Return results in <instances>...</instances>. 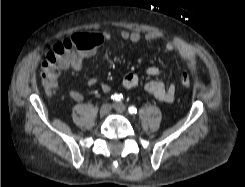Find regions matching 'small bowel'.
<instances>
[{
  "label": "small bowel",
  "instance_id": "1",
  "mask_svg": "<svg viewBox=\"0 0 245 187\" xmlns=\"http://www.w3.org/2000/svg\"><path fill=\"white\" fill-rule=\"evenodd\" d=\"M120 37L123 40L131 42H139L142 39L146 41H158L163 38V34L159 31H148L141 34L139 31L123 30L120 32ZM111 38L112 36L109 32H100L87 35L86 38L82 40L83 51L70 53L68 58L60 63L59 69L81 71L84 67L86 58L94 53L95 49L101 42L109 41ZM165 49L169 52L178 53L190 66H193L194 64L201 66L197 53L183 42L169 40L165 43ZM146 73L150 77H155L160 73V69L157 66H150L147 68ZM138 83L139 77L135 73H127L122 79V86L126 89L134 88L138 85ZM96 84L97 81L95 79L89 80L90 86H95ZM100 89L103 92H109L111 87L108 84H101ZM145 91L148 95L152 96L159 102L170 103L174 100L176 85L171 84L169 86H165V84L161 81L151 80L145 85ZM69 96L76 101H81L83 99V95L77 90H70Z\"/></svg>",
  "mask_w": 245,
  "mask_h": 187
}]
</instances>
